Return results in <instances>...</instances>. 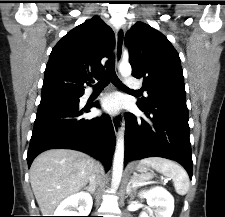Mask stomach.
Returning a JSON list of instances; mask_svg holds the SVG:
<instances>
[{
  "instance_id": "1",
  "label": "stomach",
  "mask_w": 225,
  "mask_h": 217,
  "mask_svg": "<svg viewBox=\"0 0 225 217\" xmlns=\"http://www.w3.org/2000/svg\"><path fill=\"white\" fill-rule=\"evenodd\" d=\"M134 169H135L137 172H140V173H142V174L147 172V167H146V165L141 164V163L136 164V166L134 167Z\"/></svg>"
}]
</instances>
